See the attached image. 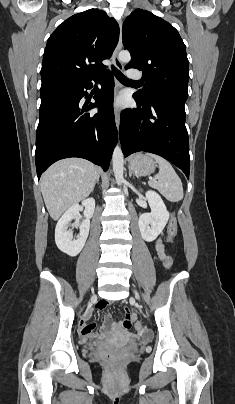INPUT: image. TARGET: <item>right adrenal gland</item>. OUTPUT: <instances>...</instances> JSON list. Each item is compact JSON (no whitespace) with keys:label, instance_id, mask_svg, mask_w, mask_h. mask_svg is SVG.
Masks as SVG:
<instances>
[{"label":"right adrenal gland","instance_id":"obj_1","mask_svg":"<svg viewBox=\"0 0 235 404\" xmlns=\"http://www.w3.org/2000/svg\"><path fill=\"white\" fill-rule=\"evenodd\" d=\"M99 178H100V175H98V176H97V179H96V184H98V183H99Z\"/></svg>","mask_w":235,"mask_h":404}]
</instances>
